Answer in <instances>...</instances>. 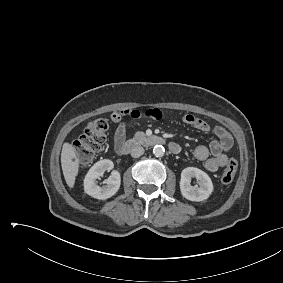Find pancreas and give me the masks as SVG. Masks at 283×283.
<instances>
[{"instance_id": "1", "label": "pancreas", "mask_w": 283, "mask_h": 283, "mask_svg": "<svg viewBox=\"0 0 283 283\" xmlns=\"http://www.w3.org/2000/svg\"><path fill=\"white\" fill-rule=\"evenodd\" d=\"M146 138L145 133L143 132H136L133 139L137 142H141Z\"/></svg>"}]
</instances>
